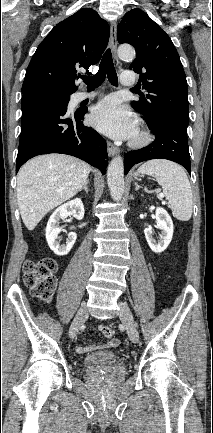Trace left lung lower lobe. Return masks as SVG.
<instances>
[{
    "label": "left lung lower lobe",
    "mask_w": 213,
    "mask_h": 433,
    "mask_svg": "<svg viewBox=\"0 0 213 433\" xmlns=\"http://www.w3.org/2000/svg\"><path fill=\"white\" fill-rule=\"evenodd\" d=\"M147 125L156 134L155 141L147 147L124 155V174H127L134 164L151 159H168L177 162L191 174L187 141L188 124L176 118L165 117Z\"/></svg>",
    "instance_id": "0a47b994"
}]
</instances>
